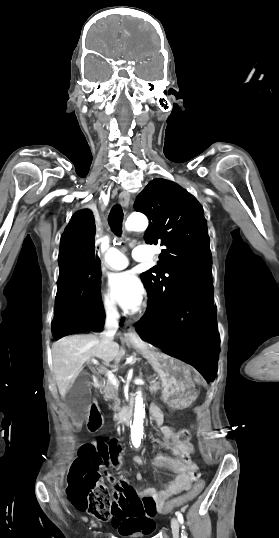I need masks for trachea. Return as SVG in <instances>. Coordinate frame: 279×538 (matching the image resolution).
Segmentation results:
<instances>
[{
  "mask_svg": "<svg viewBox=\"0 0 279 538\" xmlns=\"http://www.w3.org/2000/svg\"><path fill=\"white\" fill-rule=\"evenodd\" d=\"M124 214L120 205H114L108 216V224L117 236L122 235V222Z\"/></svg>",
  "mask_w": 279,
  "mask_h": 538,
  "instance_id": "obj_1",
  "label": "trachea"
}]
</instances>
